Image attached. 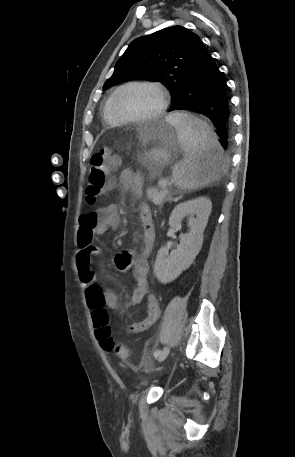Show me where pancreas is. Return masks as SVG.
<instances>
[{"instance_id":"obj_1","label":"pancreas","mask_w":295,"mask_h":457,"mask_svg":"<svg viewBox=\"0 0 295 457\" xmlns=\"http://www.w3.org/2000/svg\"><path fill=\"white\" fill-rule=\"evenodd\" d=\"M169 188L167 186L158 185V188L147 189V197L154 204H162L168 198Z\"/></svg>"}]
</instances>
